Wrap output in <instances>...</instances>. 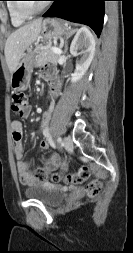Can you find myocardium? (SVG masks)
Listing matches in <instances>:
<instances>
[{
	"label": "myocardium",
	"mask_w": 133,
	"mask_h": 253,
	"mask_svg": "<svg viewBox=\"0 0 133 253\" xmlns=\"http://www.w3.org/2000/svg\"><path fill=\"white\" fill-rule=\"evenodd\" d=\"M16 2H14V8L16 10V12L23 18H31L36 16L37 14L41 13L43 10H45V8L48 6L47 2H44L40 7H38L37 9L34 10H30L28 8H26L24 6V4L22 2H20L21 0H15Z\"/></svg>",
	"instance_id": "f54148a6"
}]
</instances>
